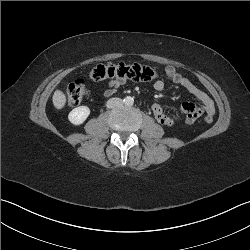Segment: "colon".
I'll return each mask as SVG.
<instances>
[{"label": "colon", "mask_w": 250, "mask_h": 250, "mask_svg": "<svg viewBox=\"0 0 250 250\" xmlns=\"http://www.w3.org/2000/svg\"><path fill=\"white\" fill-rule=\"evenodd\" d=\"M94 81L105 79H123L139 82H149L156 78L157 71L155 68L140 64H107L97 65L89 74ZM67 104L75 106L81 103L88 95V90L83 80H76L69 83L64 88ZM206 124L213 121L212 115H206L204 118Z\"/></svg>", "instance_id": "1"}]
</instances>
